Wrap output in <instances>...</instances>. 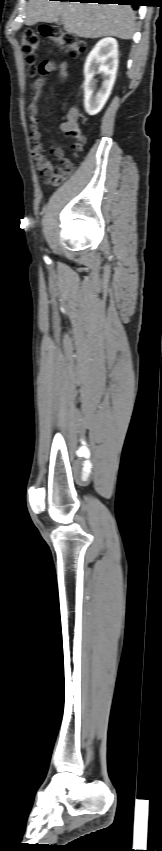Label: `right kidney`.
<instances>
[{"instance_id": "right-kidney-1", "label": "right kidney", "mask_w": 162, "mask_h": 851, "mask_svg": "<svg viewBox=\"0 0 162 851\" xmlns=\"http://www.w3.org/2000/svg\"><path fill=\"white\" fill-rule=\"evenodd\" d=\"M118 44L114 38L101 39L89 53L84 65V107L93 116L105 105L116 79ZM102 74L103 82L97 90L95 74Z\"/></svg>"}]
</instances>
